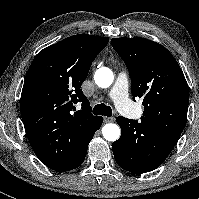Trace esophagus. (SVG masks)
<instances>
[{
	"label": "esophagus",
	"mask_w": 199,
	"mask_h": 199,
	"mask_svg": "<svg viewBox=\"0 0 199 199\" xmlns=\"http://www.w3.org/2000/svg\"><path fill=\"white\" fill-rule=\"evenodd\" d=\"M114 118L113 117H104V122L105 123H109V122H113Z\"/></svg>",
	"instance_id": "obj_1"
}]
</instances>
